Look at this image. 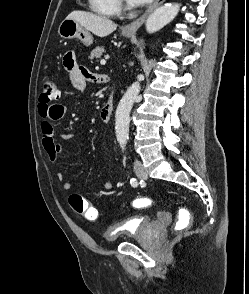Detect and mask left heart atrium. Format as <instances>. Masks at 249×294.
Listing matches in <instances>:
<instances>
[{
	"instance_id": "1",
	"label": "left heart atrium",
	"mask_w": 249,
	"mask_h": 294,
	"mask_svg": "<svg viewBox=\"0 0 249 294\" xmlns=\"http://www.w3.org/2000/svg\"><path fill=\"white\" fill-rule=\"evenodd\" d=\"M151 1L152 0H129V2L134 5H144V4L149 3Z\"/></svg>"
}]
</instances>
